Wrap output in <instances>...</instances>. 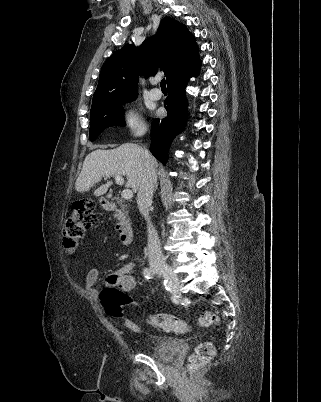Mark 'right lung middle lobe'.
Wrapping results in <instances>:
<instances>
[{
	"label": "right lung middle lobe",
	"instance_id": "dd1d6c3e",
	"mask_svg": "<svg viewBox=\"0 0 321 402\" xmlns=\"http://www.w3.org/2000/svg\"><path fill=\"white\" fill-rule=\"evenodd\" d=\"M136 98L137 94L130 95L106 105L92 107L90 112V140L94 141L107 127L125 126L123 122L124 110L121 108V105Z\"/></svg>",
	"mask_w": 321,
	"mask_h": 402
}]
</instances>
